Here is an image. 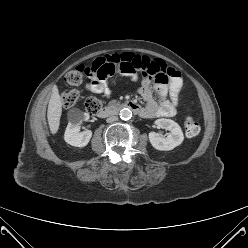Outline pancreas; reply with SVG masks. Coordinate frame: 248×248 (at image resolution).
<instances>
[{
    "mask_svg": "<svg viewBox=\"0 0 248 248\" xmlns=\"http://www.w3.org/2000/svg\"><path fill=\"white\" fill-rule=\"evenodd\" d=\"M119 104V102L117 101V100H112V101H110L109 102V107H115V106H117Z\"/></svg>",
    "mask_w": 248,
    "mask_h": 248,
    "instance_id": "obj_1",
    "label": "pancreas"
}]
</instances>
